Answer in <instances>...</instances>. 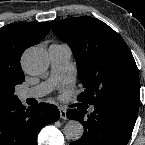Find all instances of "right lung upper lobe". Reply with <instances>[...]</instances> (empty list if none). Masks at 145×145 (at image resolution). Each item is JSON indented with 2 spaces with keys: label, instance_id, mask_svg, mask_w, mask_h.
<instances>
[{
  "label": "right lung upper lobe",
  "instance_id": "1",
  "mask_svg": "<svg viewBox=\"0 0 145 145\" xmlns=\"http://www.w3.org/2000/svg\"><path fill=\"white\" fill-rule=\"evenodd\" d=\"M49 31V22H16L0 28V105L19 100L14 87L24 81L21 55Z\"/></svg>",
  "mask_w": 145,
  "mask_h": 145
}]
</instances>
